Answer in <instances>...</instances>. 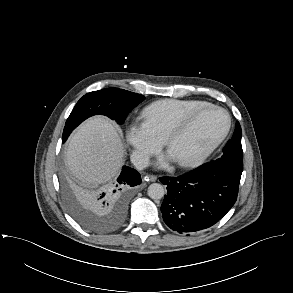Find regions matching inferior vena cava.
Returning a JSON list of instances; mask_svg holds the SVG:
<instances>
[{"mask_svg": "<svg viewBox=\"0 0 293 293\" xmlns=\"http://www.w3.org/2000/svg\"><path fill=\"white\" fill-rule=\"evenodd\" d=\"M131 162L136 169L142 170L149 166L150 159L146 154L135 151L131 155Z\"/></svg>", "mask_w": 293, "mask_h": 293, "instance_id": "602c4592", "label": "inferior vena cava"}]
</instances>
